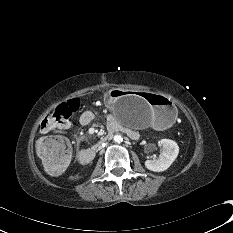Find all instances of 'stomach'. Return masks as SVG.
<instances>
[{
	"instance_id": "stomach-1",
	"label": "stomach",
	"mask_w": 233,
	"mask_h": 233,
	"mask_svg": "<svg viewBox=\"0 0 233 233\" xmlns=\"http://www.w3.org/2000/svg\"><path fill=\"white\" fill-rule=\"evenodd\" d=\"M105 104L120 123L135 128L167 127L177 118L175 104L165 96L112 89Z\"/></svg>"
}]
</instances>
